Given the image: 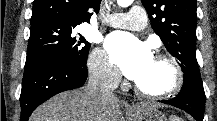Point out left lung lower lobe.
Here are the masks:
<instances>
[{"mask_svg":"<svg viewBox=\"0 0 217 121\" xmlns=\"http://www.w3.org/2000/svg\"><path fill=\"white\" fill-rule=\"evenodd\" d=\"M162 103L175 106L192 115L196 121H203L205 93L202 83L190 79H184V83L179 94Z\"/></svg>","mask_w":217,"mask_h":121,"instance_id":"obj_1","label":"left lung lower lobe"}]
</instances>
